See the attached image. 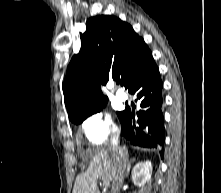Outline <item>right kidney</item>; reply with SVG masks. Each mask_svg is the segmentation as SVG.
Returning a JSON list of instances; mask_svg holds the SVG:
<instances>
[{"mask_svg":"<svg viewBox=\"0 0 221 193\" xmlns=\"http://www.w3.org/2000/svg\"><path fill=\"white\" fill-rule=\"evenodd\" d=\"M152 175V164L150 161L137 163L132 170V180L135 185L141 187L146 184Z\"/></svg>","mask_w":221,"mask_h":193,"instance_id":"obj_1","label":"right kidney"}]
</instances>
